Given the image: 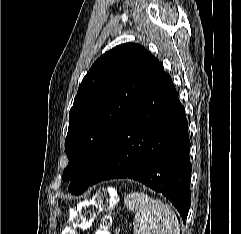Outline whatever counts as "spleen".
<instances>
[{
    "label": "spleen",
    "mask_w": 241,
    "mask_h": 234,
    "mask_svg": "<svg viewBox=\"0 0 241 234\" xmlns=\"http://www.w3.org/2000/svg\"><path fill=\"white\" fill-rule=\"evenodd\" d=\"M124 202L135 213L134 234H180L175 213L160 199L134 192L126 195Z\"/></svg>",
    "instance_id": "obj_1"
}]
</instances>
